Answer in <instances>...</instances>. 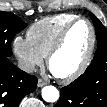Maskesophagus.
Instances as JSON below:
<instances>
[{
	"mask_svg": "<svg viewBox=\"0 0 107 107\" xmlns=\"http://www.w3.org/2000/svg\"><path fill=\"white\" fill-rule=\"evenodd\" d=\"M37 85H38V87H43V86L47 85V81H45L43 79H38Z\"/></svg>",
	"mask_w": 107,
	"mask_h": 107,
	"instance_id": "obj_1",
	"label": "esophagus"
}]
</instances>
